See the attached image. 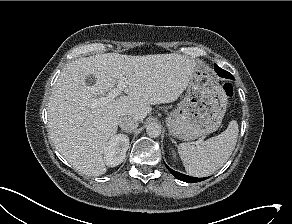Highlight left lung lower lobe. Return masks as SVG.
I'll use <instances>...</instances> for the list:
<instances>
[{
	"mask_svg": "<svg viewBox=\"0 0 292 224\" xmlns=\"http://www.w3.org/2000/svg\"><path fill=\"white\" fill-rule=\"evenodd\" d=\"M214 68H215V71L219 74V75H221V76H225L226 77V75L223 73L224 72V70L223 69H221L219 66H217V65H215L214 66ZM168 168V170L177 178V179H179V180H181V181H184V182H199V181H203V180H205V179H207V178H196V177H191V176H188V175H185V174H182V173H179V172H177V171H174V170H172V169H170L169 167H167Z\"/></svg>",
	"mask_w": 292,
	"mask_h": 224,
	"instance_id": "1",
	"label": "left lung lower lobe"
}]
</instances>
